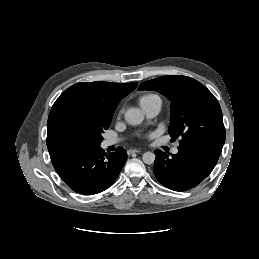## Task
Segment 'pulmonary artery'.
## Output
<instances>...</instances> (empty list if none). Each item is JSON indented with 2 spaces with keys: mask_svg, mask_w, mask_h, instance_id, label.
<instances>
[{
  "mask_svg": "<svg viewBox=\"0 0 259 259\" xmlns=\"http://www.w3.org/2000/svg\"><path fill=\"white\" fill-rule=\"evenodd\" d=\"M141 108L143 109L144 113L149 118H153L159 114L160 109H161V102H159V101L150 102L144 106H141ZM117 142H118L117 139H106L103 144H104V146H110ZM172 152H173V154H177L178 148H176V147L173 148Z\"/></svg>",
  "mask_w": 259,
  "mask_h": 259,
  "instance_id": "1",
  "label": "pulmonary artery"
}]
</instances>
